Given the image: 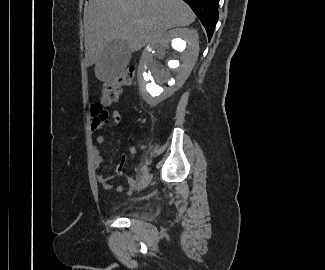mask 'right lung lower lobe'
<instances>
[{"instance_id": "right-lung-lower-lobe-1", "label": "right lung lower lobe", "mask_w": 325, "mask_h": 270, "mask_svg": "<svg viewBox=\"0 0 325 270\" xmlns=\"http://www.w3.org/2000/svg\"><path fill=\"white\" fill-rule=\"evenodd\" d=\"M197 15L211 39L218 21L219 0H184Z\"/></svg>"}]
</instances>
